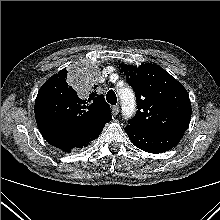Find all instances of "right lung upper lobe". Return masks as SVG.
I'll list each match as a JSON object with an SVG mask.
<instances>
[{
	"instance_id": "right-lung-upper-lobe-1",
	"label": "right lung upper lobe",
	"mask_w": 220,
	"mask_h": 220,
	"mask_svg": "<svg viewBox=\"0 0 220 220\" xmlns=\"http://www.w3.org/2000/svg\"><path fill=\"white\" fill-rule=\"evenodd\" d=\"M87 95L86 99L80 98L68 84L66 69L42 85L35 101V118L49 144L72 138L99 122L112 119L110 106L103 95H97L95 91Z\"/></svg>"
}]
</instances>
